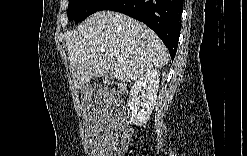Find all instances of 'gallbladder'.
<instances>
[{
    "instance_id": "bac80fb5",
    "label": "gallbladder",
    "mask_w": 247,
    "mask_h": 156,
    "mask_svg": "<svg viewBox=\"0 0 247 156\" xmlns=\"http://www.w3.org/2000/svg\"><path fill=\"white\" fill-rule=\"evenodd\" d=\"M112 80H113V78L110 77L109 75H107V76L105 77V82H106V83H109V82H111Z\"/></svg>"
}]
</instances>
